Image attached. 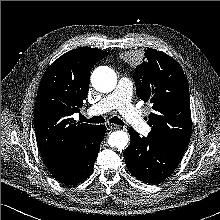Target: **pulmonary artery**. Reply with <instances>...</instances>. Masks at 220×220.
<instances>
[{
  "mask_svg": "<svg viewBox=\"0 0 220 220\" xmlns=\"http://www.w3.org/2000/svg\"><path fill=\"white\" fill-rule=\"evenodd\" d=\"M132 82L127 77H120L116 88L101 100L89 107L90 115L104 114L112 109H118L124 120L134 129L146 133L149 127L144 121L140 110L131 103Z\"/></svg>",
  "mask_w": 220,
  "mask_h": 220,
  "instance_id": "e3ab8cb5",
  "label": "pulmonary artery"
}]
</instances>
